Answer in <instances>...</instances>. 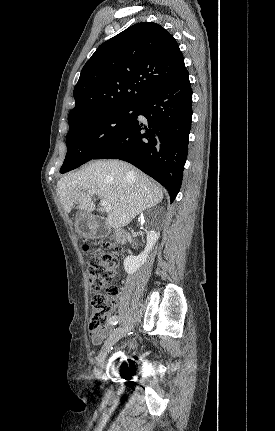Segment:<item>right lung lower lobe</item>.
Returning a JSON list of instances; mask_svg holds the SVG:
<instances>
[{
	"label": "right lung lower lobe",
	"instance_id": "obj_1",
	"mask_svg": "<svg viewBox=\"0 0 275 431\" xmlns=\"http://www.w3.org/2000/svg\"><path fill=\"white\" fill-rule=\"evenodd\" d=\"M136 119L93 159L127 161L161 183L171 202L178 194L188 153L192 89L187 69L136 106ZM147 119L143 123L138 119Z\"/></svg>",
	"mask_w": 275,
	"mask_h": 431
}]
</instances>
